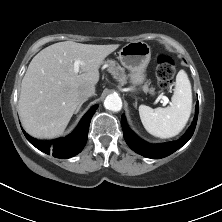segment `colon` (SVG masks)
<instances>
[{
    "instance_id": "5ec220e1",
    "label": "colon",
    "mask_w": 222,
    "mask_h": 222,
    "mask_svg": "<svg viewBox=\"0 0 222 222\" xmlns=\"http://www.w3.org/2000/svg\"><path fill=\"white\" fill-rule=\"evenodd\" d=\"M175 72V61L167 55H160L157 60L156 68L158 85L164 89L169 88L172 85Z\"/></svg>"
}]
</instances>
